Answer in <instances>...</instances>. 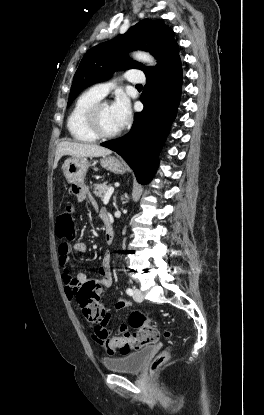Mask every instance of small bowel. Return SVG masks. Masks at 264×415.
<instances>
[{"mask_svg":"<svg viewBox=\"0 0 264 415\" xmlns=\"http://www.w3.org/2000/svg\"><path fill=\"white\" fill-rule=\"evenodd\" d=\"M109 217L107 209L102 208L99 211L100 220L105 223L106 218ZM77 253L83 254L87 252L88 245L86 242L79 241L74 245ZM71 246L68 244H61L58 248V263L63 271L64 291L66 297L75 305L77 309L80 307L77 302L78 291L84 283L88 281H95L101 293L104 289L112 286L114 279L111 271V254L105 252L102 257V264L98 270L97 275L91 276L83 272H78L74 277L70 274V253ZM129 305V301L125 298H120L114 304L115 311H120ZM112 319L110 314H107L106 321ZM127 329V323L121 322L117 327L118 333H124ZM121 353L123 355L128 354Z\"/></svg>","mask_w":264,"mask_h":415,"instance_id":"c3829d8e","label":"small bowel"}]
</instances>
